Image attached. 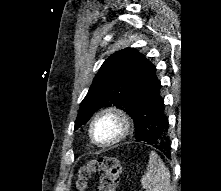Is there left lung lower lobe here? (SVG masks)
Returning a JSON list of instances; mask_svg holds the SVG:
<instances>
[{
  "label": "left lung lower lobe",
  "mask_w": 221,
  "mask_h": 191,
  "mask_svg": "<svg viewBox=\"0 0 221 191\" xmlns=\"http://www.w3.org/2000/svg\"><path fill=\"white\" fill-rule=\"evenodd\" d=\"M155 66L144 56L132 89L136 141H144L170 157L169 122Z\"/></svg>",
  "instance_id": "obj_1"
}]
</instances>
